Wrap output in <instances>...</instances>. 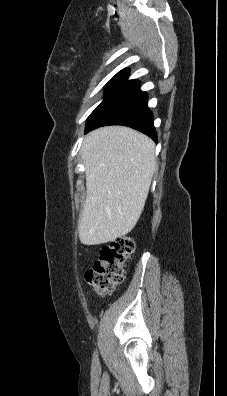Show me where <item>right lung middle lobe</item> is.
<instances>
[{
	"label": "right lung middle lobe",
	"instance_id": "1",
	"mask_svg": "<svg viewBox=\"0 0 227 396\" xmlns=\"http://www.w3.org/2000/svg\"><path fill=\"white\" fill-rule=\"evenodd\" d=\"M129 71L118 72L106 85V100L111 94H113L122 84H124L128 78ZM103 100V101H104Z\"/></svg>",
	"mask_w": 227,
	"mask_h": 396
}]
</instances>
